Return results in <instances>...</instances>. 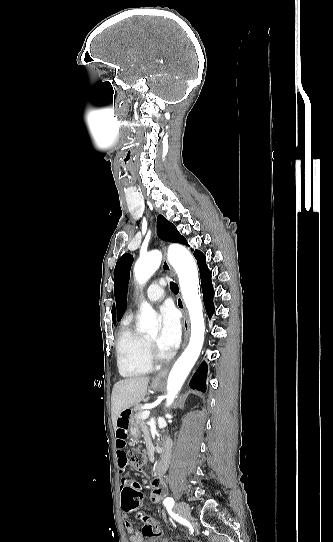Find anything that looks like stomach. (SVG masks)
Wrapping results in <instances>:
<instances>
[{"mask_svg": "<svg viewBox=\"0 0 333 542\" xmlns=\"http://www.w3.org/2000/svg\"><path fill=\"white\" fill-rule=\"evenodd\" d=\"M162 386L163 384H157V382H151L150 388H152V390H159V388H162ZM127 424H128L131 438L136 441L140 440L142 435H141L140 429L136 427L134 420H132V416H129Z\"/></svg>", "mask_w": 333, "mask_h": 542, "instance_id": "stomach-1", "label": "stomach"}]
</instances>
